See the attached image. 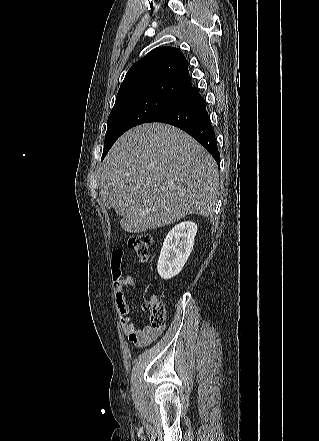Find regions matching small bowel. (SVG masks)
I'll return each mask as SVG.
<instances>
[{"instance_id":"obj_1","label":"small bowel","mask_w":319,"mask_h":441,"mask_svg":"<svg viewBox=\"0 0 319 441\" xmlns=\"http://www.w3.org/2000/svg\"><path fill=\"white\" fill-rule=\"evenodd\" d=\"M123 257V250L115 249L112 253V265H121ZM125 288L135 291L136 282L133 275L122 274L121 285L117 286L115 284V301L123 333L131 343L137 346L149 345L161 335L164 326L160 328L152 326L137 327L130 316V307L124 292Z\"/></svg>"}]
</instances>
